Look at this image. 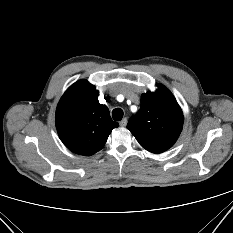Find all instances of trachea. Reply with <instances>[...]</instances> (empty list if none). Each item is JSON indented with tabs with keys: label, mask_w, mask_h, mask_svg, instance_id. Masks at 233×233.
Returning a JSON list of instances; mask_svg holds the SVG:
<instances>
[{
	"label": "trachea",
	"mask_w": 233,
	"mask_h": 233,
	"mask_svg": "<svg viewBox=\"0 0 233 233\" xmlns=\"http://www.w3.org/2000/svg\"><path fill=\"white\" fill-rule=\"evenodd\" d=\"M112 117L115 121H120L123 118V110L116 108L112 111Z\"/></svg>",
	"instance_id": "3493384b"
}]
</instances>
